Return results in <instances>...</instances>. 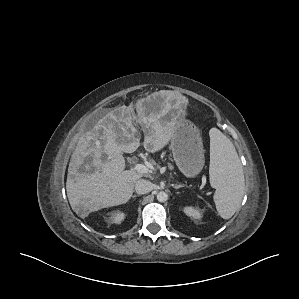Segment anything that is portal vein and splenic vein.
Segmentation results:
<instances>
[{
    "mask_svg": "<svg viewBox=\"0 0 299 299\" xmlns=\"http://www.w3.org/2000/svg\"><path fill=\"white\" fill-rule=\"evenodd\" d=\"M134 169H135L137 172H139V173H143V174L149 172V168H148L146 165H144V164H136V165L134 166Z\"/></svg>",
    "mask_w": 299,
    "mask_h": 299,
    "instance_id": "obj_1",
    "label": "portal vein and splenic vein"
}]
</instances>
